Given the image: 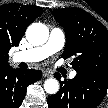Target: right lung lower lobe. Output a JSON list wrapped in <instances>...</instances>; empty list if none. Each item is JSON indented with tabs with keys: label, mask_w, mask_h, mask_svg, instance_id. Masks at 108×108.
<instances>
[{
	"label": "right lung lower lobe",
	"mask_w": 108,
	"mask_h": 108,
	"mask_svg": "<svg viewBox=\"0 0 108 108\" xmlns=\"http://www.w3.org/2000/svg\"><path fill=\"white\" fill-rule=\"evenodd\" d=\"M41 77V70L0 67V108H19L26 95V88Z\"/></svg>",
	"instance_id": "obj_1"
}]
</instances>
